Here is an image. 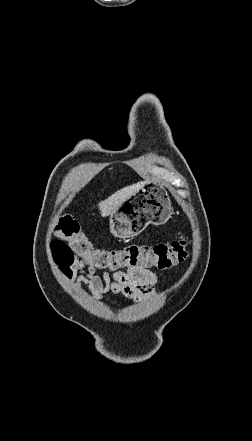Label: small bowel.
<instances>
[{
  "label": "small bowel",
  "mask_w": 252,
  "mask_h": 441,
  "mask_svg": "<svg viewBox=\"0 0 252 441\" xmlns=\"http://www.w3.org/2000/svg\"><path fill=\"white\" fill-rule=\"evenodd\" d=\"M85 265L84 260L74 259L66 274L72 278L77 289L83 285L87 286L96 299H102L109 291L122 294L136 302H143L156 294L155 285L158 276L151 270L136 267L115 272L112 275L106 272L101 278L92 265H89L87 269Z\"/></svg>",
  "instance_id": "obj_1"
}]
</instances>
